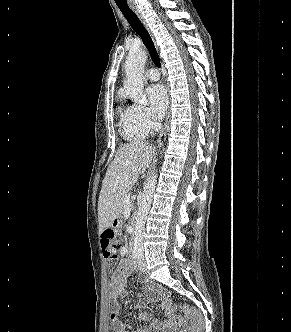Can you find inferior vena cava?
Wrapping results in <instances>:
<instances>
[{
    "label": "inferior vena cava",
    "mask_w": 291,
    "mask_h": 332,
    "mask_svg": "<svg viewBox=\"0 0 291 332\" xmlns=\"http://www.w3.org/2000/svg\"><path fill=\"white\" fill-rule=\"evenodd\" d=\"M154 127H155V129L158 131V130H160L161 129V127H162V125H161V123H155L154 124Z\"/></svg>",
    "instance_id": "inferior-vena-cava-1"
}]
</instances>
